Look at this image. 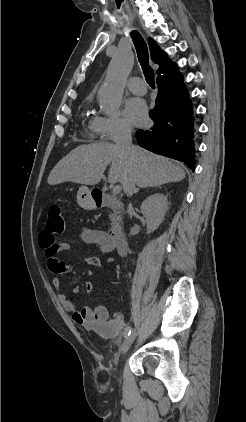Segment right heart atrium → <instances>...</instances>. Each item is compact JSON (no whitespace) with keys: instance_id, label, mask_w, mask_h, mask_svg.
<instances>
[{"instance_id":"obj_1","label":"right heart atrium","mask_w":246,"mask_h":422,"mask_svg":"<svg viewBox=\"0 0 246 422\" xmlns=\"http://www.w3.org/2000/svg\"><path fill=\"white\" fill-rule=\"evenodd\" d=\"M94 132L104 141H115L131 132V125L121 116H98L94 119Z\"/></svg>"}]
</instances>
